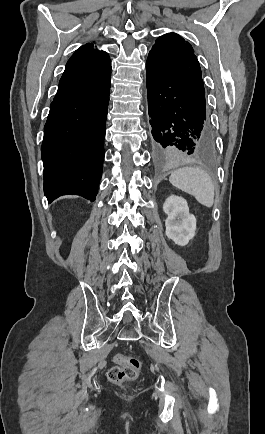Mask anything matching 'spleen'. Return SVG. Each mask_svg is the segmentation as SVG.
<instances>
[{
    "instance_id": "3e777b00",
    "label": "spleen",
    "mask_w": 265,
    "mask_h": 434,
    "mask_svg": "<svg viewBox=\"0 0 265 434\" xmlns=\"http://www.w3.org/2000/svg\"><path fill=\"white\" fill-rule=\"evenodd\" d=\"M169 182L196 198L199 204L211 208L214 204V184L204 170L200 168H179L172 172Z\"/></svg>"
}]
</instances>
